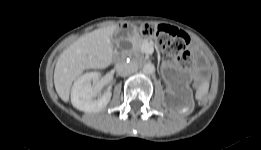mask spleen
Instances as JSON below:
<instances>
[{"mask_svg": "<svg viewBox=\"0 0 261 150\" xmlns=\"http://www.w3.org/2000/svg\"><path fill=\"white\" fill-rule=\"evenodd\" d=\"M208 83L202 84L196 92V99H201L208 91Z\"/></svg>", "mask_w": 261, "mask_h": 150, "instance_id": "1", "label": "spleen"}]
</instances>
